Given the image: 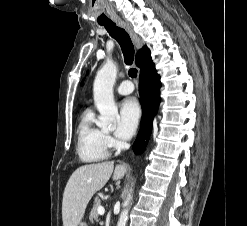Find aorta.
Here are the masks:
<instances>
[{
    "label": "aorta",
    "mask_w": 247,
    "mask_h": 226,
    "mask_svg": "<svg viewBox=\"0 0 247 226\" xmlns=\"http://www.w3.org/2000/svg\"><path fill=\"white\" fill-rule=\"evenodd\" d=\"M117 76V67L111 62L107 61L98 71L94 84L93 95L94 103L100 113L97 125L103 129H110L115 126L118 117V108L114 102L113 86ZM133 199V185L131 186L126 200V208L122 210L117 226H126L128 219V206Z\"/></svg>",
    "instance_id": "762f6f07"
}]
</instances>
